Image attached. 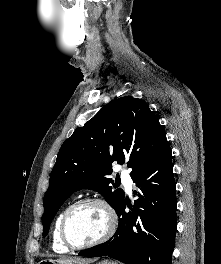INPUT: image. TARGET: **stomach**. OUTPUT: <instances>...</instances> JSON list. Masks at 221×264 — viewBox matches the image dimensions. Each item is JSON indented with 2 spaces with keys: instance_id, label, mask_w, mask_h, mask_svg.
<instances>
[{
  "instance_id": "0dacf381",
  "label": "stomach",
  "mask_w": 221,
  "mask_h": 264,
  "mask_svg": "<svg viewBox=\"0 0 221 264\" xmlns=\"http://www.w3.org/2000/svg\"><path fill=\"white\" fill-rule=\"evenodd\" d=\"M38 264H89V263H87V262H84V263H78V262L63 263V262H60L59 260L44 259V260H41ZM98 264H117V263L114 261L103 260V261L99 262Z\"/></svg>"
}]
</instances>
